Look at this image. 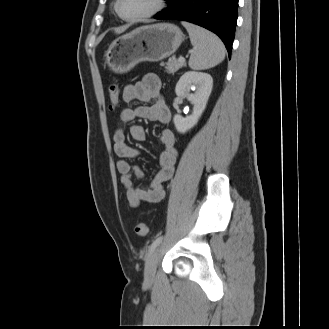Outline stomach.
<instances>
[{
	"instance_id": "obj_1",
	"label": "stomach",
	"mask_w": 329,
	"mask_h": 329,
	"mask_svg": "<svg viewBox=\"0 0 329 329\" xmlns=\"http://www.w3.org/2000/svg\"><path fill=\"white\" fill-rule=\"evenodd\" d=\"M183 39L182 31L170 23L142 26L115 39L105 53V62L112 71L125 73L140 62L171 56Z\"/></svg>"
}]
</instances>
